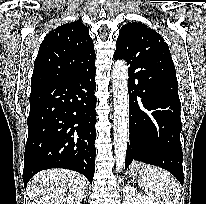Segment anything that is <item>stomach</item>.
Instances as JSON below:
<instances>
[{"mask_svg": "<svg viewBox=\"0 0 206 204\" xmlns=\"http://www.w3.org/2000/svg\"><path fill=\"white\" fill-rule=\"evenodd\" d=\"M145 165L142 164V163H134L132 166H131V169H130V176L133 178V179H137L138 182L141 181L142 177H143V169H144Z\"/></svg>", "mask_w": 206, "mask_h": 204, "instance_id": "0dacf381", "label": "stomach"}]
</instances>
